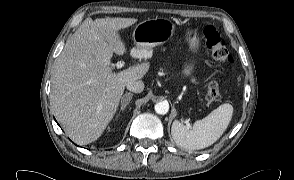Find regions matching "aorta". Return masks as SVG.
<instances>
[{"mask_svg": "<svg viewBox=\"0 0 294 180\" xmlns=\"http://www.w3.org/2000/svg\"><path fill=\"white\" fill-rule=\"evenodd\" d=\"M154 108L157 114L165 115L169 111V103L167 101H161L156 103Z\"/></svg>", "mask_w": 294, "mask_h": 180, "instance_id": "obj_1", "label": "aorta"}]
</instances>
